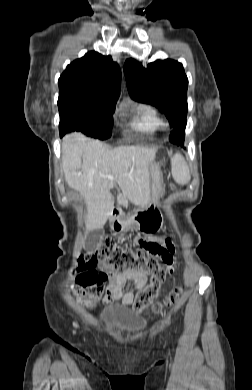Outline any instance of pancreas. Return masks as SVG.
Segmentation results:
<instances>
[{
	"label": "pancreas",
	"instance_id": "pancreas-1",
	"mask_svg": "<svg viewBox=\"0 0 252 390\" xmlns=\"http://www.w3.org/2000/svg\"><path fill=\"white\" fill-rule=\"evenodd\" d=\"M118 205H119V206H122V205H123V206H131V205H135V202H131V201H123V202H122V201H119V202H118Z\"/></svg>",
	"mask_w": 252,
	"mask_h": 390
}]
</instances>
